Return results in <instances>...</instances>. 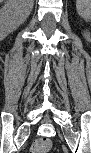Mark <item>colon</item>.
Returning a JSON list of instances; mask_svg holds the SVG:
<instances>
[{
	"label": "colon",
	"mask_w": 91,
	"mask_h": 153,
	"mask_svg": "<svg viewBox=\"0 0 91 153\" xmlns=\"http://www.w3.org/2000/svg\"><path fill=\"white\" fill-rule=\"evenodd\" d=\"M52 142L49 138L36 139L31 146V153H48L51 150Z\"/></svg>",
	"instance_id": "colon-1"
}]
</instances>
